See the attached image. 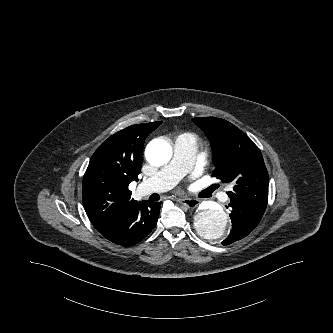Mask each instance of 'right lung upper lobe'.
I'll list each match as a JSON object with an SVG mask.
<instances>
[{
  "label": "right lung upper lobe",
  "mask_w": 333,
  "mask_h": 333,
  "mask_svg": "<svg viewBox=\"0 0 333 333\" xmlns=\"http://www.w3.org/2000/svg\"><path fill=\"white\" fill-rule=\"evenodd\" d=\"M160 124L127 127L109 137L91 157L83 177L82 200L89 220L98 231L137 202L131 199L128 186L138 181L144 141Z\"/></svg>",
  "instance_id": "right-lung-upper-lobe-1"
}]
</instances>
